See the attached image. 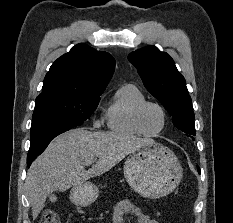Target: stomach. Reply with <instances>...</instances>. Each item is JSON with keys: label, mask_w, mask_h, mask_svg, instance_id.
I'll list each match as a JSON object with an SVG mask.
<instances>
[{"label": "stomach", "mask_w": 233, "mask_h": 223, "mask_svg": "<svg viewBox=\"0 0 233 223\" xmlns=\"http://www.w3.org/2000/svg\"><path fill=\"white\" fill-rule=\"evenodd\" d=\"M182 175L183 169L172 149L155 141H146L140 149L128 153L124 163V177L131 189L149 199L170 193ZM101 187L92 181L75 185L70 191V201L79 207L91 205L100 195Z\"/></svg>", "instance_id": "1"}]
</instances>
